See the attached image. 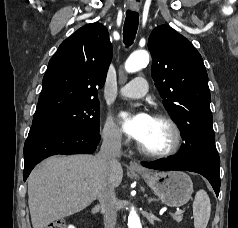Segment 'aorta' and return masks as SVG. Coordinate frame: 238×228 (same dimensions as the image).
Returning <instances> with one entry per match:
<instances>
[{
  "instance_id": "1",
  "label": "aorta",
  "mask_w": 238,
  "mask_h": 228,
  "mask_svg": "<svg viewBox=\"0 0 238 228\" xmlns=\"http://www.w3.org/2000/svg\"><path fill=\"white\" fill-rule=\"evenodd\" d=\"M149 63V53L145 50L133 52L125 62V70L134 73ZM128 228H142V223L134 207L131 208L128 216Z\"/></svg>"
}]
</instances>
